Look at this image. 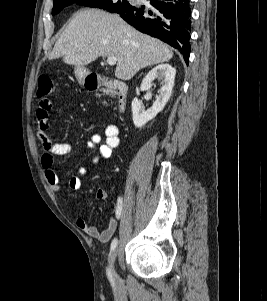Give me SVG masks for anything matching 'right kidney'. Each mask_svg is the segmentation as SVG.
I'll use <instances>...</instances> for the list:
<instances>
[{
    "instance_id": "ca27d5eb",
    "label": "right kidney",
    "mask_w": 267,
    "mask_h": 301,
    "mask_svg": "<svg viewBox=\"0 0 267 301\" xmlns=\"http://www.w3.org/2000/svg\"><path fill=\"white\" fill-rule=\"evenodd\" d=\"M176 75V69L169 64H160L154 67L149 73L145 76L141 83V91L148 90L154 80L162 82V87L160 89L159 95L156 97V101L153 103V106L145 111L142 103L134 98L132 101V114H133V123L137 128L143 127L148 121L156 117V115L161 112L168 100L171 97L172 89L174 86Z\"/></svg>"
}]
</instances>
